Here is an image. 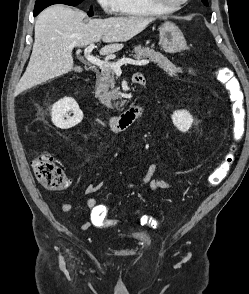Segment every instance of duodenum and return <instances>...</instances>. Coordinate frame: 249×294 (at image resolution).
<instances>
[{
	"mask_svg": "<svg viewBox=\"0 0 249 294\" xmlns=\"http://www.w3.org/2000/svg\"><path fill=\"white\" fill-rule=\"evenodd\" d=\"M133 82L139 85L143 90L146 87L145 77L136 73L133 75ZM145 110L144 96H142L135 104L120 115L112 116L109 119L110 129L114 132H121L129 128L137 119L141 117Z\"/></svg>",
	"mask_w": 249,
	"mask_h": 294,
	"instance_id": "duodenum-1",
	"label": "duodenum"
}]
</instances>
